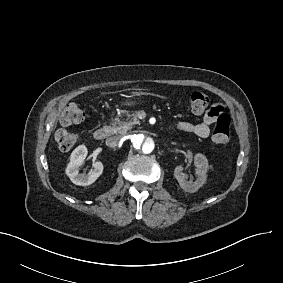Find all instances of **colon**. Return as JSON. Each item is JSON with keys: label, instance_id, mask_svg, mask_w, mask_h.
Masks as SVG:
<instances>
[{"label": "colon", "instance_id": "obj_1", "mask_svg": "<svg viewBox=\"0 0 283 283\" xmlns=\"http://www.w3.org/2000/svg\"><path fill=\"white\" fill-rule=\"evenodd\" d=\"M213 98L204 92H194L190 97V108L192 113L200 115L204 113ZM84 118L83 111L77 104L70 103L62 110L60 121L65 125L79 124ZM230 116L224 121H213V133L212 140L215 144L225 143L230 135ZM57 147L60 150L67 151L73 148L76 143L78 136L77 134L67 130H57L54 135Z\"/></svg>", "mask_w": 283, "mask_h": 283}]
</instances>
